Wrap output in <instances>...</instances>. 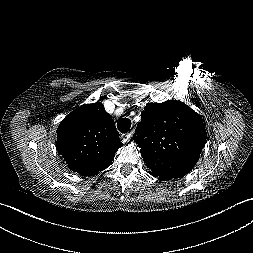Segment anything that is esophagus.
Wrapping results in <instances>:
<instances>
[{
    "label": "esophagus",
    "mask_w": 253,
    "mask_h": 253,
    "mask_svg": "<svg viewBox=\"0 0 253 253\" xmlns=\"http://www.w3.org/2000/svg\"><path fill=\"white\" fill-rule=\"evenodd\" d=\"M131 137H132V132L122 135V142L125 143V142L129 141V139Z\"/></svg>",
    "instance_id": "1"
}]
</instances>
